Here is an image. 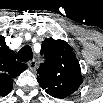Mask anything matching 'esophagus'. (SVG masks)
Segmentation results:
<instances>
[{
  "mask_svg": "<svg viewBox=\"0 0 103 103\" xmlns=\"http://www.w3.org/2000/svg\"><path fill=\"white\" fill-rule=\"evenodd\" d=\"M36 67H37V61L35 59L28 62V68L30 70H35Z\"/></svg>",
  "mask_w": 103,
  "mask_h": 103,
  "instance_id": "1",
  "label": "esophagus"
}]
</instances>
